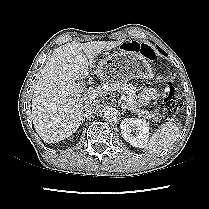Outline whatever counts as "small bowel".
Returning <instances> with one entry per match:
<instances>
[{
	"label": "small bowel",
	"instance_id": "obj_1",
	"mask_svg": "<svg viewBox=\"0 0 209 209\" xmlns=\"http://www.w3.org/2000/svg\"><path fill=\"white\" fill-rule=\"evenodd\" d=\"M157 95L158 93L155 89L146 88L141 91L139 98L142 103H148L155 100Z\"/></svg>",
	"mask_w": 209,
	"mask_h": 209
}]
</instances>
